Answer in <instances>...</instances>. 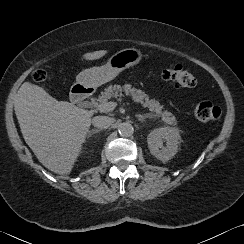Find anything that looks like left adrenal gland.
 I'll return each mask as SVG.
<instances>
[{
    "label": "left adrenal gland",
    "instance_id": "1",
    "mask_svg": "<svg viewBox=\"0 0 244 244\" xmlns=\"http://www.w3.org/2000/svg\"><path fill=\"white\" fill-rule=\"evenodd\" d=\"M136 117L138 118L139 121L144 122L145 119L148 118L149 116L138 114V115H136Z\"/></svg>",
    "mask_w": 244,
    "mask_h": 244
}]
</instances>
